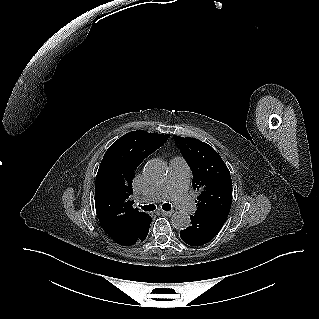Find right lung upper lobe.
I'll list each match as a JSON object with an SVG mask.
<instances>
[{
  "instance_id": "1",
  "label": "right lung upper lobe",
  "mask_w": 319,
  "mask_h": 319,
  "mask_svg": "<svg viewBox=\"0 0 319 319\" xmlns=\"http://www.w3.org/2000/svg\"><path fill=\"white\" fill-rule=\"evenodd\" d=\"M170 137L147 131H132L116 140L106 151L95 184V207L106 233L118 244L127 240L148 216L133 208L134 171Z\"/></svg>"
}]
</instances>
